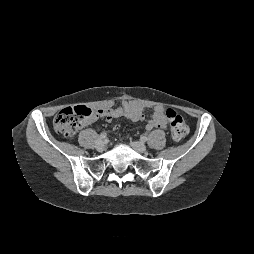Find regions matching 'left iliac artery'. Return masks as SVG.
Wrapping results in <instances>:
<instances>
[{
    "mask_svg": "<svg viewBox=\"0 0 254 254\" xmlns=\"http://www.w3.org/2000/svg\"><path fill=\"white\" fill-rule=\"evenodd\" d=\"M141 141H143V142H145V141H147V137L146 136H141Z\"/></svg>",
    "mask_w": 254,
    "mask_h": 254,
    "instance_id": "44dca946",
    "label": "left iliac artery"
}]
</instances>
